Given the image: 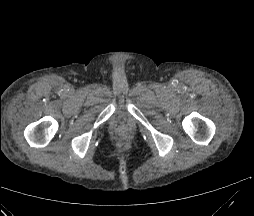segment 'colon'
<instances>
[{
	"label": "colon",
	"instance_id": "1",
	"mask_svg": "<svg viewBox=\"0 0 254 216\" xmlns=\"http://www.w3.org/2000/svg\"><path fill=\"white\" fill-rule=\"evenodd\" d=\"M120 140H121L122 142H126V141H127V136H126V134H121V135H120Z\"/></svg>",
	"mask_w": 254,
	"mask_h": 216
}]
</instances>
